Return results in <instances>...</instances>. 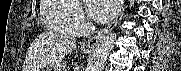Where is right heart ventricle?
Segmentation results:
<instances>
[{
	"mask_svg": "<svg viewBox=\"0 0 181 71\" xmlns=\"http://www.w3.org/2000/svg\"><path fill=\"white\" fill-rule=\"evenodd\" d=\"M75 9L71 1L45 0L41 6L43 23L50 30L68 35H77L79 31L70 23V17Z\"/></svg>",
	"mask_w": 181,
	"mask_h": 71,
	"instance_id": "e07e8e85",
	"label": "right heart ventricle"
}]
</instances>
